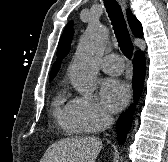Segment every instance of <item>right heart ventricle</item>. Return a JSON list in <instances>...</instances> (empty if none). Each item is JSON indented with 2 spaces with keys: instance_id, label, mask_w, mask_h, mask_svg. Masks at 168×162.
I'll return each mask as SVG.
<instances>
[{
  "instance_id": "right-heart-ventricle-1",
  "label": "right heart ventricle",
  "mask_w": 168,
  "mask_h": 162,
  "mask_svg": "<svg viewBox=\"0 0 168 162\" xmlns=\"http://www.w3.org/2000/svg\"><path fill=\"white\" fill-rule=\"evenodd\" d=\"M71 101L66 100L64 91H60L53 102V112L58 122L73 134H84L86 131L74 122L71 111Z\"/></svg>"
}]
</instances>
